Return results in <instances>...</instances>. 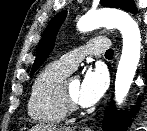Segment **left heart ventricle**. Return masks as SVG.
<instances>
[{
    "mask_svg": "<svg viewBox=\"0 0 147 131\" xmlns=\"http://www.w3.org/2000/svg\"><path fill=\"white\" fill-rule=\"evenodd\" d=\"M67 87L71 97L78 101L80 81L77 78H71L68 80Z\"/></svg>",
    "mask_w": 147,
    "mask_h": 131,
    "instance_id": "b2bd125f",
    "label": "left heart ventricle"
}]
</instances>
